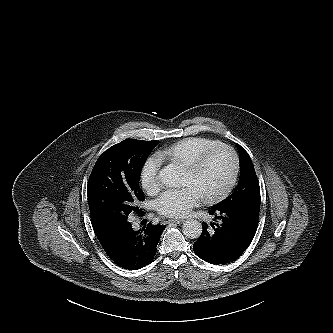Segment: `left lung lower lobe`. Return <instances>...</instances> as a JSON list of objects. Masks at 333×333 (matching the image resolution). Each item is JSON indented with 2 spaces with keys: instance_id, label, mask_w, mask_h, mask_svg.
Segmentation results:
<instances>
[{
  "instance_id": "obj_1",
  "label": "left lung lower lobe",
  "mask_w": 333,
  "mask_h": 333,
  "mask_svg": "<svg viewBox=\"0 0 333 333\" xmlns=\"http://www.w3.org/2000/svg\"><path fill=\"white\" fill-rule=\"evenodd\" d=\"M259 209H211L212 229L205 223L194 243V253L211 264H227L238 259L252 242L258 227Z\"/></svg>"
}]
</instances>
